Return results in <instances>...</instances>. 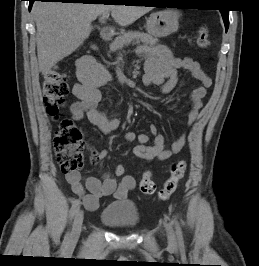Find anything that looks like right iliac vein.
Masks as SVG:
<instances>
[{
  "label": "right iliac vein",
  "instance_id": "1",
  "mask_svg": "<svg viewBox=\"0 0 259 266\" xmlns=\"http://www.w3.org/2000/svg\"><path fill=\"white\" fill-rule=\"evenodd\" d=\"M83 218H84L83 211H79L74 218L72 231L70 234V242L71 243H75L79 239L82 224H83Z\"/></svg>",
  "mask_w": 259,
  "mask_h": 266
}]
</instances>
